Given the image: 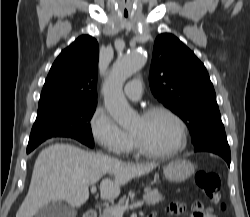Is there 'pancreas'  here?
Wrapping results in <instances>:
<instances>
[{
	"mask_svg": "<svg viewBox=\"0 0 250 217\" xmlns=\"http://www.w3.org/2000/svg\"><path fill=\"white\" fill-rule=\"evenodd\" d=\"M145 195L143 196V200H145L147 205H156L161 202L164 198L161 193L158 192L157 189L145 188ZM126 200L123 198L118 202L114 207H124ZM100 217H116L109 209H105Z\"/></svg>",
	"mask_w": 250,
	"mask_h": 217,
	"instance_id": "1",
	"label": "pancreas"
}]
</instances>
